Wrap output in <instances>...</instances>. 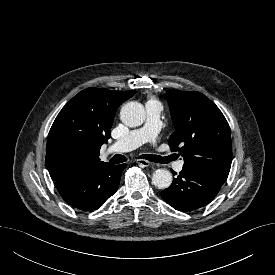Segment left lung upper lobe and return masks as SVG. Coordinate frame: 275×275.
Masks as SVG:
<instances>
[{"instance_id":"left-lung-upper-lobe-1","label":"left lung upper lobe","mask_w":275,"mask_h":275,"mask_svg":"<svg viewBox=\"0 0 275 275\" xmlns=\"http://www.w3.org/2000/svg\"><path fill=\"white\" fill-rule=\"evenodd\" d=\"M164 98L176 129L169 146L182 155L183 167L227 179L232 161L231 135L219 108L200 92L172 89Z\"/></svg>"}]
</instances>
